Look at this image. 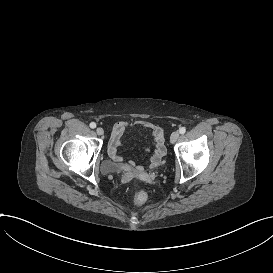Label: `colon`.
<instances>
[{
    "instance_id": "5ec220e1",
    "label": "colon",
    "mask_w": 273,
    "mask_h": 273,
    "mask_svg": "<svg viewBox=\"0 0 273 273\" xmlns=\"http://www.w3.org/2000/svg\"><path fill=\"white\" fill-rule=\"evenodd\" d=\"M128 198L130 200H135V202L132 204V209L134 211H137L139 207L143 206L145 203L148 202L149 194L144 189L131 188L128 191Z\"/></svg>"
}]
</instances>
